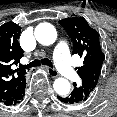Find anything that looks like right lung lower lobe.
I'll list each match as a JSON object with an SVG mask.
<instances>
[{"mask_svg":"<svg viewBox=\"0 0 117 117\" xmlns=\"http://www.w3.org/2000/svg\"><path fill=\"white\" fill-rule=\"evenodd\" d=\"M25 87H26V80L20 82L17 88L12 93V95L8 97L6 100H3L1 102L7 106L18 104L20 100L23 99V96L25 94L24 92Z\"/></svg>","mask_w":117,"mask_h":117,"instance_id":"1","label":"right lung lower lobe"}]
</instances>
